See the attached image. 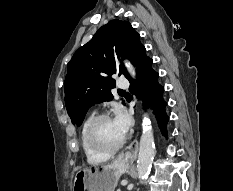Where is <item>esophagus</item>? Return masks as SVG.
Here are the masks:
<instances>
[{
  "mask_svg": "<svg viewBox=\"0 0 233 191\" xmlns=\"http://www.w3.org/2000/svg\"><path fill=\"white\" fill-rule=\"evenodd\" d=\"M138 142L134 140L117 158L118 162H128L136 158Z\"/></svg>",
  "mask_w": 233,
  "mask_h": 191,
  "instance_id": "esophagus-1",
  "label": "esophagus"
}]
</instances>
